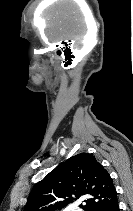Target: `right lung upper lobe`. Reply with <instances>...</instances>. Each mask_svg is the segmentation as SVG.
Instances as JSON below:
<instances>
[{
  "mask_svg": "<svg viewBox=\"0 0 133 211\" xmlns=\"http://www.w3.org/2000/svg\"><path fill=\"white\" fill-rule=\"evenodd\" d=\"M86 196L85 211H101L117 202L107 170L89 153L70 157L32 189L24 211H57Z\"/></svg>",
  "mask_w": 133,
  "mask_h": 211,
  "instance_id": "cb5924a9",
  "label": "right lung upper lobe"
}]
</instances>
